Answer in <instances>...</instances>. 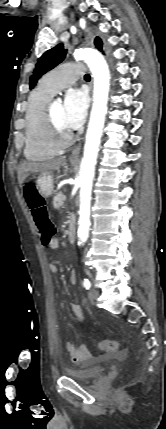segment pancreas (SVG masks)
Wrapping results in <instances>:
<instances>
[{"label": "pancreas", "instance_id": "cf45deb5", "mask_svg": "<svg viewBox=\"0 0 166 429\" xmlns=\"http://www.w3.org/2000/svg\"><path fill=\"white\" fill-rule=\"evenodd\" d=\"M63 196L62 192L57 193L53 198V206L56 209H59L63 205Z\"/></svg>", "mask_w": 166, "mask_h": 429}]
</instances>
